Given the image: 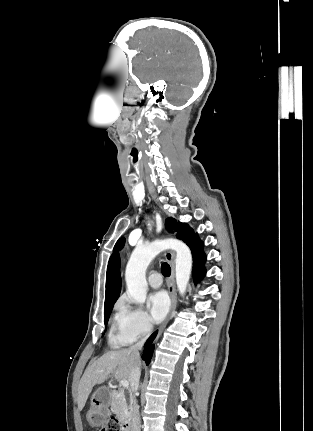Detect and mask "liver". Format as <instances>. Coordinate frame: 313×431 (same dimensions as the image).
I'll list each match as a JSON object with an SVG mask.
<instances>
[{"instance_id":"obj_1","label":"liver","mask_w":313,"mask_h":431,"mask_svg":"<svg viewBox=\"0 0 313 431\" xmlns=\"http://www.w3.org/2000/svg\"><path fill=\"white\" fill-rule=\"evenodd\" d=\"M140 357L132 354L130 349L109 351L88 366L78 386V409L86 404L92 388L104 383L110 374L117 380H129V375L135 365L140 366Z\"/></svg>"}]
</instances>
